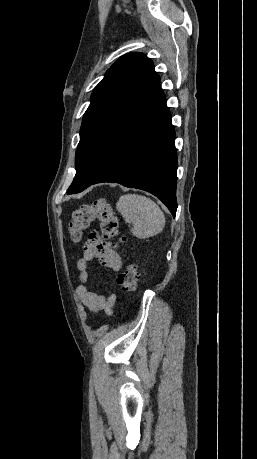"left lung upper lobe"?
<instances>
[{"label": "left lung upper lobe", "mask_w": 257, "mask_h": 459, "mask_svg": "<svg viewBox=\"0 0 257 459\" xmlns=\"http://www.w3.org/2000/svg\"><path fill=\"white\" fill-rule=\"evenodd\" d=\"M156 75L153 62L137 52L122 56L107 70L94 88L83 116L75 156L76 175L67 194L81 192L94 181L102 164L108 133Z\"/></svg>", "instance_id": "1"}]
</instances>
